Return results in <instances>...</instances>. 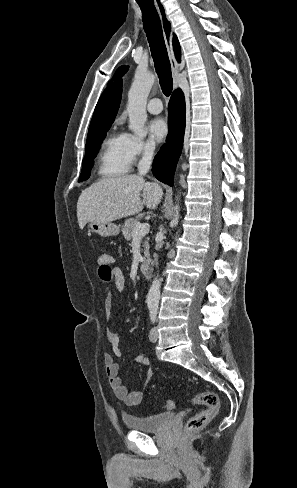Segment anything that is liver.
Returning a JSON list of instances; mask_svg holds the SVG:
<instances>
[{
  "mask_svg": "<svg viewBox=\"0 0 297 488\" xmlns=\"http://www.w3.org/2000/svg\"><path fill=\"white\" fill-rule=\"evenodd\" d=\"M142 192V194H141ZM162 188L137 175L109 177L89 186L79 196L77 218L80 229L88 222L110 223L143 210L156 209ZM142 197V199H141Z\"/></svg>",
  "mask_w": 297,
  "mask_h": 488,
  "instance_id": "obj_1",
  "label": "liver"
}]
</instances>
